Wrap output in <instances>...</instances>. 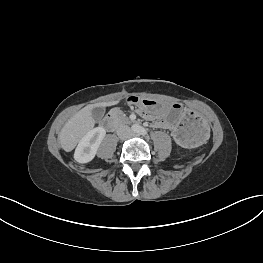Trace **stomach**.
I'll return each instance as SVG.
<instances>
[{
    "label": "stomach",
    "instance_id": "1",
    "mask_svg": "<svg viewBox=\"0 0 263 263\" xmlns=\"http://www.w3.org/2000/svg\"><path fill=\"white\" fill-rule=\"evenodd\" d=\"M128 103L153 112L162 124L176 132L178 141L185 147L200 145L207 137V119L189 111L183 103L162 104L157 100L141 97H130Z\"/></svg>",
    "mask_w": 263,
    "mask_h": 263
}]
</instances>
